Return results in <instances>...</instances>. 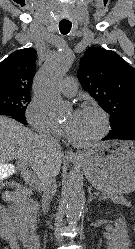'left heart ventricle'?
<instances>
[{
  "label": "left heart ventricle",
  "instance_id": "obj_1",
  "mask_svg": "<svg viewBox=\"0 0 135 249\" xmlns=\"http://www.w3.org/2000/svg\"><path fill=\"white\" fill-rule=\"evenodd\" d=\"M68 133L77 141H87L95 137L102 129L98 113L90 109L70 112L65 120Z\"/></svg>",
  "mask_w": 135,
  "mask_h": 249
}]
</instances>
